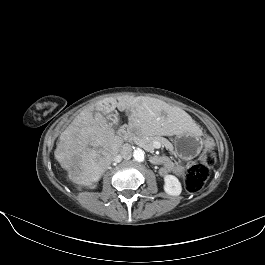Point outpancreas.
<instances>
[{
    "label": "pancreas",
    "instance_id": "cf45deb5",
    "mask_svg": "<svg viewBox=\"0 0 265 265\" xmlns=\"http://www.w3.org/2000/svg\"><path fill=\"white\" fill-rule=\"evenodd\" d=\"M130 141L138 144L142 148H144L146 151L153 152L154 147L153 143L155 141H158L161 143L162 146H164L166 149H168L170 152H174L173 145L165 138L161 136H151V137H145V136H131L129 138Z\"/></svg>",
    "mask_w": 265,
    "mask_h": 265
}]
</instances>
